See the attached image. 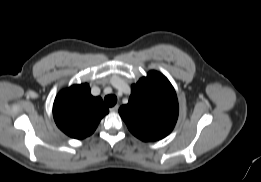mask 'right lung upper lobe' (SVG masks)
<instances>
[{"label":"right lung upper lobe","instance_id":"cb5924a9","mask_svg":"<svg viewBox=\"0 0 261 182\" xmlns=\"http://www.w3.org/2000/svg\"><path fill=\"white\" fill-rule=\"evenodd\" d=\"M109 112L100 97H93L87 83L61 91L53 105L57 126L68 136L83 139L91 135Z\"/></svg>","mask_w":261,"mask_h":182}]
</instances>
